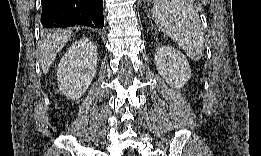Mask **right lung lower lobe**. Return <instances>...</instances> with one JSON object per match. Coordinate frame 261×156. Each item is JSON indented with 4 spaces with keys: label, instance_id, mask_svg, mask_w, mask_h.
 Instances as JSON below:
<instances>
[{
    "label": "right lung lower lobe",
    "instance_id": "1",
    "mask_svg": "<svg viewBox=\"0 0 261 156\" xmlns=\"http://www.w3.org/2000/svg\"><path fill=\"white\" fill-rule=\"evenodd\" d=\"M42 26L46 29L75 25L103 28V0H42Z\"/></svg>",
    "mask_w": 261,
    "mask_h": 156
}]
</instances>
